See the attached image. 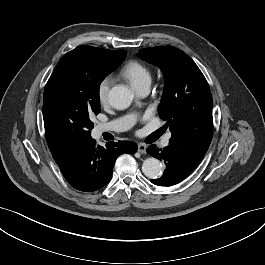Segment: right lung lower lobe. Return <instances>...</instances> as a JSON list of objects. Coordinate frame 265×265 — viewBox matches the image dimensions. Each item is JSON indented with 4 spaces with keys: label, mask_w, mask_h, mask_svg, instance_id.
<instances>
[{
    "label": "right lung lower lobe",
    "mask_w": 265,
    "mask_h": 265,
    "mask_svg": "<svg viewBox=\"0 0 265 265\" xmlns=\"http://www.w3.org/2000/svg\"><path fill=\"white\" fill-rule=\"evenodd\" d=\"M136 151L137 145L131 141L110 142L104 148L96 146V141L89 137L54 159L73 188L93 192L109 183L118 156Z\"/></svg>",
    "instance_id": "right-lung-lower-lobe-1"
}]
</instances>
